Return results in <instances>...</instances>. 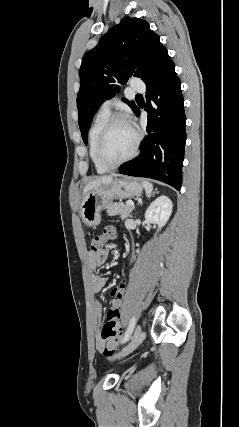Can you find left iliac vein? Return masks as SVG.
<instances>
[{
  "instance_id": "1",
  "label": "left iliac vein",
  "mask_w": 239,
  "mask_h": 427,
  "mask_svg": "<svg viewBox=\"0 0 239 427\" xmlns=\"http://www.w3.org/2000/svg\"><path fill=\"white\" fill-rule=\"evenodd\" d=\"M146 333L141 330L140 326H137L134 332V336L128 345L117 355V358L124 357L135 350L145 339Z\"/></svg>"
}]
</instances>
